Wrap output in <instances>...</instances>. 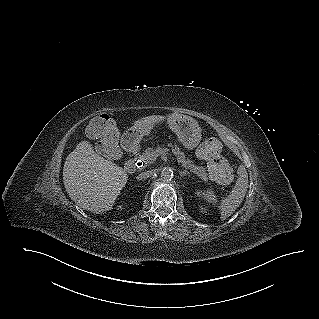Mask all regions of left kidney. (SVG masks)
<instances>
[{
  "label": "left kidney",
  "instance_id": "left-kidney-1",
  "mask_svg": "<svg viewBox=\"0 0 319 319\" xmlns=\"http://www.w3.org/2000/svg\"><path fill=\"white\" fill-rule=\"evenodd\" d=\"M196 194H197L198 196H200V195H201V192H200V191H197ZM201 210H202L203 212H205V210H203V208H202Z\"/></svg>",
  "mask_w": 319,
  "mask_h": 319
}]
</instances>
